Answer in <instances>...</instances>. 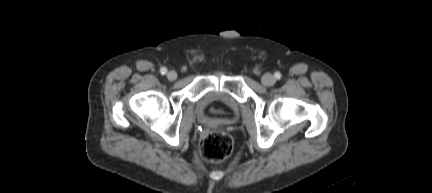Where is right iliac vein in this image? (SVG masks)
Wrapping results in <instances>:
<instances>
[{
  "mask_svg": "<svg viewBox=\"0 0 432 193\" xmlns=\"http://www.w3.org/2000/svg\"><path fill=\"white\" fill-rule=\"evenodd\" d=\"M167 78L170 81H173L177 78V73L175 71H169L167 74Z\"/></svg>",
  "mask_w": 432,
  "mask_h": 193,
  "instance_id": "63e3f726",
  "label": "right iliac vein"
}]
</instances>
